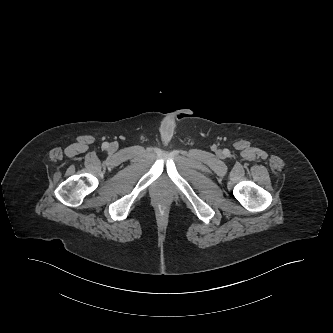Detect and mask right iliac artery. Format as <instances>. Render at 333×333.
<instances>
[{
	"instance_id": "82829eb1",
	"label": "right iliac artery",
	"mask_w": 333,
	"mask_h": 333,
	"mask_svg": "<svg viewBox=\"0 0 333 333\" xmlns=\"http://www.w3.org/2000/svg\"><path fill=\"white\" fill-rule=\"evenodd\" d=\"M108 146H109V144H108L107 142H104V143L102 144V148H103V149L108 148Z\"/></svg>"
}]
</instances>
